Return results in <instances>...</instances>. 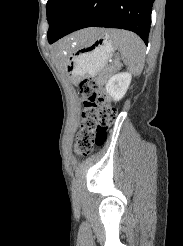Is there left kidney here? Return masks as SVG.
Segmentation results:
<instances>
[{"label":"left kidney","mask_w":183,"mask_h":246,"mask_svg":"<svg viewBox=\"0 0 183 246\" xmlns=\"http://www.w3.org/2000/svg\"><path fill=\"white\" fill-rule=\"evenodd\" d=\"M132 80L131 73H118L111 76L106 83V92L114 100H121L126 94Z\"/></svg>","instance_id":"5707ae66"}]
</instances>
